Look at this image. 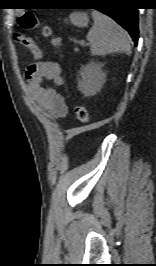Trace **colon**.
I'll use <instances>...</instances> for the list:
<instances>
[{
    "instance_id": "1",
    "label": "colon",
    "mask_w": 156,
    "mask_h": 266,
    "mask_svg": "<svg viewBox=\"0 0 156 266\" xmlns=\"http://www.w3.org/2000/svg\"><path fill=\"white\" fill-rule=\"evenodd\" d=\"M19 24L23 29L26 30L39 29L44 37L50 39L52 45L55 47H59L61 45V38L53 34V31L49 25L42 24L33 12L26 11L23 13V15H21L19 18ZM18 41L31 51L35 60H39L42 57L40 48L30 37L19 35ZM73 109L74 114L82 124L89 123V114L84 106L76 103L74 104Z\"/></svg>"
}]
</instances>
